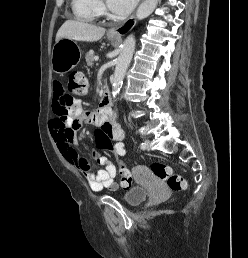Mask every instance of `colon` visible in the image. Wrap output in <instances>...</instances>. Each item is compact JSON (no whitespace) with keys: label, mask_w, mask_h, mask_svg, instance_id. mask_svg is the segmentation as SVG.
I'll use <instances>...</instances> for the list:
<instances>
[{"label":"colon","mask_w":248,"mask_h":258,"mask_svg":"<svg viewBox=\"0 0 248 258\" xmlns=\"http://www.w3.org/2000/svg\"><path fill=\"white\" fill-rule=\"evenodd\" d=\"M70 93L75 96H82L88 92V81L84 74L75 72L70 77L69 84ZM99 143L105 146L108 155H113L116 159L117 168L120 169L121 182L125 187H129L132 184V175L129 171L130 161L126 158H122L121 154H117L116 145L108 144V138L100 131ZM150 170L155 178L164 181L167 186L175 192L184 191L187 187L186 180L183 176L175 173L173 169L164 163L153 162L150 165Z\"/></svg>","instance_id":"5ec220e1"}]
</instances>
